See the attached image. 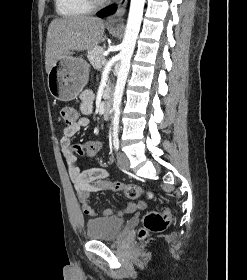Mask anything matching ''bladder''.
Masks as SVG:
<instances>
[{"instance_id": "31cf9c89", "label": "bladder", "mask_w": 247, "mask_h": 280, "mask_svg": "<svg viewBox=\"0 0 247 280\" xmlns=\"http://www.w3.org/2000/svg\"><path fill=\"white\" fill-rule=\"evenodd\" d=\"M124 228V220L118 217H100L86 223V236L90 240L109 241L117 239Z\"/></svg>"}]
</instances>
